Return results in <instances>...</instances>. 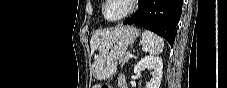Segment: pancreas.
I'll use <instances>...</instances> for the list:
<instances>
[{
	"label": "pancreas",
	"instance_id": "obj_1",
	"mask_svg": "<svg viewBox=\"0 0 227 88\" xmlns=\"http://www.w3.org/2000/svg\"><path fill=\"white\" fill-rule=\"evenodd\" d=\"M129 61V56L127 55V54H125L123 57H121L120 59H119V64L121 65V66H123L126 62H128Z\"/></svg>",
	"mask_w": 227,
	"mask_h": 88
}]
</instances>
